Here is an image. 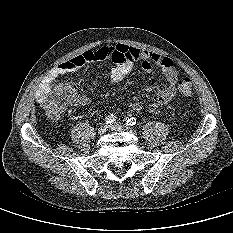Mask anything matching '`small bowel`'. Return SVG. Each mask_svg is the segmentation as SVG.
Returning a JSON list of instances; mask_svg holds the SVG:
<instances>
[{"instance_id": "1", "label": "small bowel", "mask_w": 233, "mask_h": 233, "mask_svg": "<svg viewBox=\"0 0 233 233\" xmlns=\"http://www.w3.org/2000/svg\"><path fill=\"white\" fill-rule=\"evenodd\" d=\"M104 60H110L114 63L110 69V77L113 83L122 81L136 61H141L142 67L148 73L151 72L154 66H159L162 69L167 85L164 88H156L151 85L146 88L148 92H154L157 96L156 102L148 107L150 111H154L159 106L170 103L177 95L179 73L173 60L149 51H142L135 47L117 44L115 46H103L96 50H86L58 65L53 70L48 81L40 86L36 94L37 100L41 103L46 102L53 91V82L61 75L75 72L86 63ZM73 102L78 105H88L90 99L78 94ZM131 107L134 110H140L143 105L138 101H134L131 103Z\"/></svg>"}]
</instances>
